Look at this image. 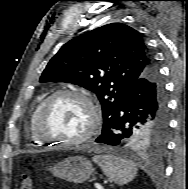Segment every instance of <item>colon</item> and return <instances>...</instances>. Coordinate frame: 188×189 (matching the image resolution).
Returning <instances> with one entry per match:
<instances>
[{"label":"colon","instance_id":"5ec220e1","mask_svg":"<svg viewBox=\"0 0 188 189\" xmlns=\"http://www.w3.org/2000/svg\"><path fill=\"white\" fill-rule=\"evenodd\" d=\"M19 189H32V179L27 172H23L21 175Z\"/></svg>","mask_w":188,"mask_h":189}]
</instances>
